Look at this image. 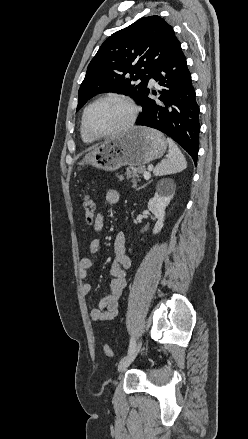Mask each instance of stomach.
<instances>
[{"label": "stomach", "mask_w": 248, "mask_h": 439, "mask_svg": "<svg viewBox=\"0 0 248 439\" xmlns=\"http://www.w3.org/2000/svg\"><path fill=\"white\" fill-rule=\"evenodd\" d=\"M164 135L147 127H134L96 145L78 162L79 168L92 165L105 171L122 166H143L163 156L167 149Z\"/></svg>", "instance_id": "1"}]
</instances>
